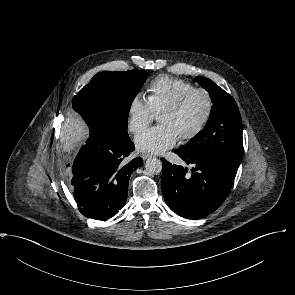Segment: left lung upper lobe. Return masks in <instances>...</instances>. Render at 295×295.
Masks as SVG:
<instances>
[{
	"instance_id": "5c2ea615",
	"label": "left lung upper lobe",
	"mask_w": 295,
	"mask_h": 295,
	"mask_svg": "<svg viewBox=\"0 0 295 295\" xmlns=\"http://www.w3.org/2000/svg\"><path fill=\"white\" fill-rule=\"evenodd\" d=\"M195 80L209 92L214 105L204 129L177 150L189 157L217 156L239 167L243 157L242 121L234 99L207 78L197 76Z\"/></svg>"
}]
</instances>
